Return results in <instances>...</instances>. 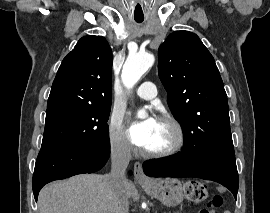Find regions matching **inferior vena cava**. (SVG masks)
Segmentation results:
<instances>
[{
  "label": "inferior vena cava",
  "mask_w": 270,
  "mask_h": 213,
  "mask_svg": "<svg viewBox=\"0 0 270 213\" xmlns=\"http://www.w3.org/2000/svg\"><path fill=\"white\" fill-rule=\"evenodd\" d=\"M131 160L130 145L127 142H119L111 149V172L107 178L119 199V206L115 213H128V201L125 196L124 184L126 182L125 171Z\"/></svg>",
  "instance_id": "1"
}]
</instances>
